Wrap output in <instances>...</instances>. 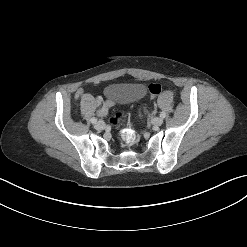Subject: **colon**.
Instances as JSON below:
<instances>
[{"instance_id":"obj_1","label":"colon","mask_w":247,"mask_h":247,"mask_svg":"<svg viewBox=\"0 0 247 247\" xmlns=\"http://www.w3.org/2000/svg\"><path fill=\"white\" fill-rule=\"evenodd\" d=\"M161 90L162 87L159 83H151L148 86V91L151 95L152 100H154L160 94ZM123 119L124 116L122 113H115L112 117L109 118V121L112 125L117 126L123 122Z\"/></svg>"}]
</instances>
